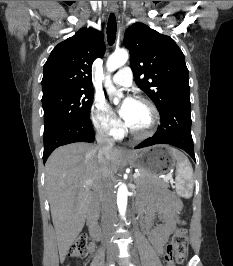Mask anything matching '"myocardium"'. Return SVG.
<instances>
[{"label":"myocardium","mask_w":233,"mask_h":266,"mask_svg":"<svg viewBox=\"0 0 233 266\" xmlns=\"http://www.w3.org/2000/svg\"><path fill=\"white\" fill-rule=\"evenodd\" d=\"M137 102L146 105L150 109L152 114L151 124L146 130L138 132L129 128V133L133 138L143 140L153 136L157 131L160 124V112L154 102L147 98L140 97L137 99Z\"/></svg>","instance_id":"obj_1"}]
</instances>
